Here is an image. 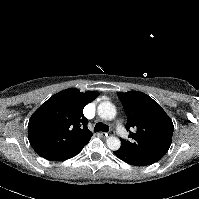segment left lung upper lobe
Listing matches in <instances>:
<instances>
[{
    "label": "left lung upper lobe",
    "mask_w": 199,
    "mask_h": 199,
    "mask_svg": "<svg viewBox=\"0 0 199 199\" xmlns=\"http://www.w3.org/2000/svg\"><path fill=\"white\" fill-rule=\"evenodd\" d=\"M117 95L127 115L126 129H136V133L129 136L132 141L121 139V146L160 160L172 142V120L156 101L142 92H119Z\"/></svg>",
    "instance_id": "left-lung-upper-lobe-1"
}]
</instances>
